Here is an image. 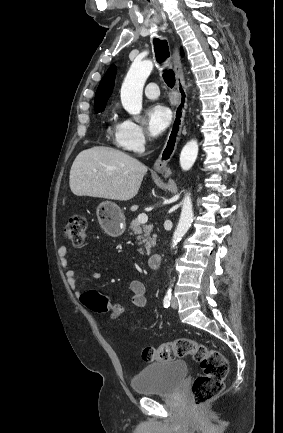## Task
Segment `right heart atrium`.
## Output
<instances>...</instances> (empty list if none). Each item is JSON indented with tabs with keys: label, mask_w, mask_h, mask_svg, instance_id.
Returning <instances> with one entry per match:
<instances>
[{
	"label": "right heart atrium",
	"mask_w": 283,
	"mask_h": 433,
	"mask_svg": "<svg viewBox=\"0 0 283 433\" xmlns=\"http://www.w3.org/2000/svg\"><path fill=\"white\" fill-rule=\"evenodd\" d=\"M114 143L130 154L139 155L145 150L147 137L138 123L125 118L115 130Z\"/></svg>",
	"instance_id": "1"
}]
</instances>
